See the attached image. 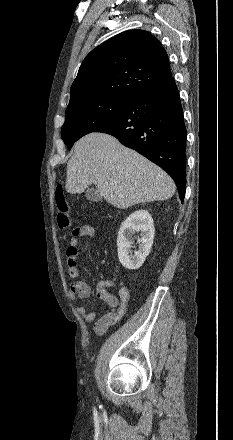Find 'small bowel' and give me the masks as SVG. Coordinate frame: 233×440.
<instances>
[{"label": "small bowel", "mask_w": 233, "mask_h": 440, "mask_svg": "<svg viewBox=\"0 0 233 440\" xmlns=\"http://www.w3.org/2000/svg\"><path fill=\"white\" fill-rule=\"evenodd\" d=\"M95 233V228L90 225H83L73 230L72 238L70 239L66 250L69 260L68 274L71 278L76 279L80 275L76 262H73L76 260L78 253L79 238L93 237ZM113 287L118 288V298L108 291L109 288ZM90 295L91 288L83 280H76L72 283L71 297L73 299L85 300L89 298ZM96 296L110 308L109 311L98 317L96 311H88L86 306L80 305L77 308V312L85 322L95 321L94 332L97 335H101L114 326L124 316L130 295L129 290L126 287L119 285L114 280L105 279L97 283Z\"/></svg>", "instance_id": "c3829d8e"}]
</instances>
